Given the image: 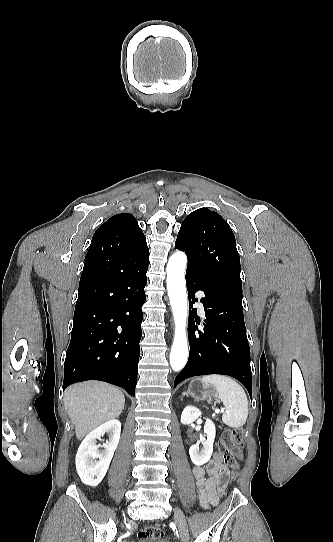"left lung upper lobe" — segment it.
Here are the masks:
<instances>
[{
	"instance_id": "1",
	"label": "left lung upper lobe",
	"mask_w": 333,
	"mask_h": 542,
	"mask_svg": "<svg viewBox=\"0 0 333 542\" xmlns=\"http://www.w3.org/2000/svg\"><path fill=\"white\" fill-rule=\"evenodd\" d=\"M175 248L187 254V271L206 283L242 293L235 236L218 213L200 208L189 214L181 225Z\"/></svg>"
}]
</instances>
